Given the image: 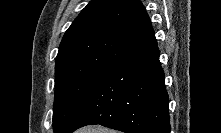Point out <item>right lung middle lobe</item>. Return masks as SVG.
I'll return each instance as SVG.
<instances>
[{"instance_id": "1", "label": "right lung middle lobe", "mask_w": 221, "mask_h": 133, "mask_svg": "<svg viewBox=\"0 0 221 133\" xmlns=\"http://www.w3.org/2000/svg\"><path fill=\"white\" fill-rule=\"evenodd\" d=\"M105 67L64 69L55 73L53 128L65 133Z\"/></svg>"}]
</instances>
